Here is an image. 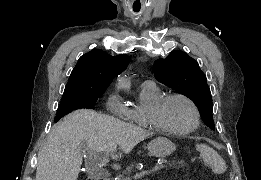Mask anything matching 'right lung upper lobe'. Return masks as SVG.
<instances>
[{"instance_id":"right-lung-upper-lobe-1","label":"right lung upper lobe","mask_w":261,"mask_h":180,"mask_svg":"<svg viewBox=\"0 0 261 180\" xmlns=\"http://www.w3.org/2000/svg\"><path fill=\"white\" fill-rule=\"evenodd\" d=\"M129 60L130 57L125 54L110 56L94 49L79 58L65 89L105 91L114 76L126 68Z\"/></svg>"}]
</instances>
